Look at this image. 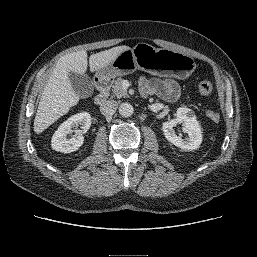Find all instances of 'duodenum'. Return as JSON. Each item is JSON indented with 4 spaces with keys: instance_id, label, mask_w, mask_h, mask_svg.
<instances>
[{
    "instance_id": "obj_1",
    "label": "duodenum",
    "mask_w": 257,
    "mask_h": 257,
    "mask_svg": "<svg viewBox=\"0 0 257 257\" xmlns=\"http://www.w3.org/2000/svg\"><path fill=\"white\" fill-rule=\"evenodd\" d=\"M96 85L98 88V93L95 96V103L98 105L103 104L108 98V91L110 86L109 78H98L96 79Z\"/></svg>"
}]
</instances>
